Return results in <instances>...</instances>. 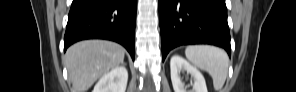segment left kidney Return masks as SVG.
Here are the masks:
<instances>
[{
	"instance_id": "5707ae66",
	"label": "left kidney",
	"mask_w": 296,
	"mask_h": 92,
	"mask_svg": "<svg viewBox=\"0 0 296 92\" xmlns=\"http://www.w3.org/2000/svg\"><path fill=\"white\" fill-rule=\"evenodd\" d=\"M171 81L175 92H208L205 79L201 72L184 58L173 55L170 60ZM186 71L194 79L192 90L187 91L182 79L181 72Z\"/></svg>"
}]
</instances>
